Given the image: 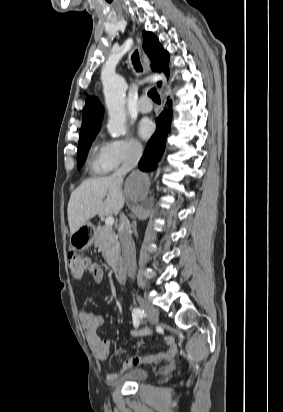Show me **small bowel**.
I'll return each instance as SVG.
<instances>
[{
	"label": "small bowel",
	"instance_id": "c3829d8e",
	"mask_svg": "<svg viewBox=\"0 0 283 412\" xmlns=\"http://www.w3.org/2000/svg\"><path fill=\"white\" fill-rule=\"evenodd\" d=\"M89 273L95 284H99L102 281L103 270L99 264L96 263L95 269ZM78 317L96 361L99 364H104L110 350V342L100 338L99 329L104 325L105 318L102 315L85 310H80ZM149 333L150 329L148 327H145L141 331L134 332L135 335H147ZM165 339L167 343L166 349L157 354L139 355L128 358L123 361L121 371L125 372L134 366L174 358L177 354V345L171 336H166Z\"/></svg>",
	"mask_w": 283,
	"mask_h": 412
}]
</instances>
